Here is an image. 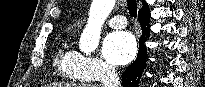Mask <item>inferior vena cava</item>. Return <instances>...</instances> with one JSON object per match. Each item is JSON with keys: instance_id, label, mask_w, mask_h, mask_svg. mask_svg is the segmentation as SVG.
Returning <instances> with one entry per match:
<instances>
[{"instance_id": "inferior-vena-cava-1", "label": "inferior vena cava", "mask_w": 205, "mask_h": 87, "mask_svg": "<svg viewBox=\"0 0 205 87\" xmlns=\"http://www.w3.org/2000/svg\"><path fill=\"white\" fill-rule=\"evenodd\" d=\"M101 81L104 87H119L120 80L113 66H105L101 75Z\"/></svg>"}]
</instances>
